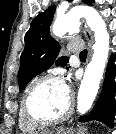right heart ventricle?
Listing matches in <instances>:
<instances>
[{
    "label": "right heart ventricle",
    "instance_id": "1",
    "mask_svg": "<svg viewBox=\"0 0 116 134\" xmlns=\"http://www.w3.org/2000/svg\"><path fill=\"white\" fill-rule=\"evenodd\" d=\"M22 102V99H21ZM18 126L23 133H33L38 130L39 126L29 122L25 115L23 114L22 107L20 104L19 114H18Z\"/></svg>",
    "mask_w": 116,
    "mask_h": 134
}]
</instances>
